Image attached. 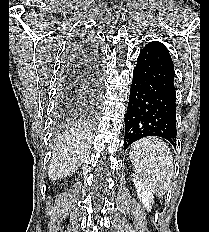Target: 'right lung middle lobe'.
Masks as SVG:
<instances>
[{
	"label": "right lung middle lobe",
	"mask_w": 209,
	"mask_h": 232,
	"mask_svg": "<svg viewBox=\"0 0 209 232\" xmlns=\"http://www.w3.org/2000/svg\"><path fill=\"white\" fill-rule=\"evenodd\" d=\"M75 102L72 100L69 84H64L60 90L57 104V125L60 130H64L78 122L80 112H75Z\"/></svg>",
	"instance_id": "right-lung-middle-lobe-1"
}]
</instances>
